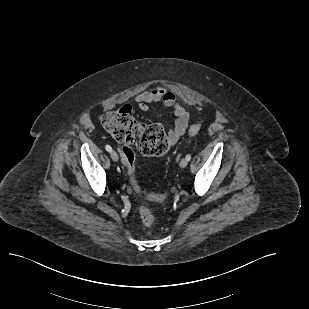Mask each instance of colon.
Masks as SVG:
<instances>
[{
    "label": "colon",
    "mask_w": 309,
    "mask_h": 309,
    "mask_svg": "<svg viewBox=\"0 0 309 309\" xmlns=\"http://www.w3.org/2000/svg\"><path fill=\"white\" fill-rule=\"evenodd\" d=\"M102 126L120 143V153L130 183L134 192L154 202H162L168 197L167 193L155 194L143 191L135 177V153L132 143L139 140V149L146 156H162L169 149V143L163 127L159 124H142L132 114L128 107L110 111L100 116ZM200 125H193L189 129L191 135L200 131ZM141 222L144 226H151L154 215L148 206L142 204L139 208Z\"/></svg>",
    "instance_id": "1"
}]
</instances>
